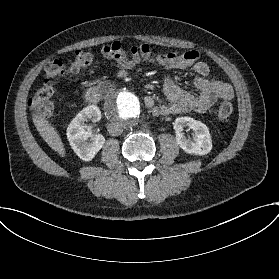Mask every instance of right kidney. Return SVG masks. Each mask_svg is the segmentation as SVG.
Instances as JSON below:
<instances>
[{"label": "right kidney", "mask_w": 279, "mask_h": 279, "mask_svg": "<svg viewBox=\"0 0 279 279\" xmlns=\"http://www.w3.org/2000/svg\"><path fill=\"white\" fill-rule=\"evenodd\" d=\"M92 122L101 120V111L96 105L83 108L67 127V138L73 151L84 161H91L105 143L101 134H93L85 121ZM90 138V142L87 140Z\"/></svg>", "instance_id": "ca27d5eb"}]
</instances>
